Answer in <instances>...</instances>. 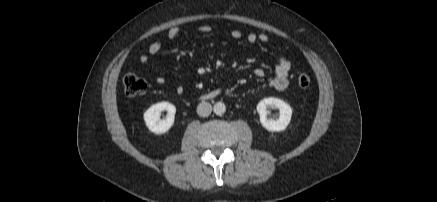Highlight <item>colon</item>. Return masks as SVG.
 Returning <instances> with one entry per match:
<instances>
[{"instance_id":"obj_1","label":"colon","mask_w":437,"mask_h":202,"mask_svg":"<svg viewBox=\"0 0 437 202\" xmlns=\"http://www.w3.org/2000/svg\"><path fill=\"white\" fill-rule=\"evenodd\" d=\"M297 81L302 89L308 88L311 84V78L305 73L300 74ZM123 84L124 92L129 97L141 94L147 87L145 79L134 72H129L125 75Z\"/></svg>"}]
</instances>
